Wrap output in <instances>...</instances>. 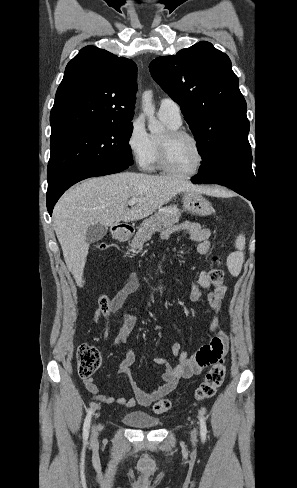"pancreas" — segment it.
Instances as JSON below:
<instances>
[{"label": "pancreas", "mask_w": 297, "mask_h": 488, "mask_svg": "<svg viewBox=\"0 0 297 488\" xmlns=\"http://www.w3.org/2000/svg\"><path fill=\"white\" fill-rule=\"evenodd\" d=\"M154 214V216L144 220L131 242L133 249H141L143 244L149 241L155 232L162 230L163 227L171 226L180 221V209L173 205L163 208Z\"/></svg>", "instance_id": "1"}]
</instances>
